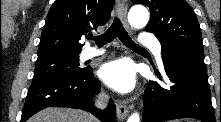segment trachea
<instances>
[{"mask_svg": "<svg viewBox=\"0 0 221 122\" xmlns=\"http://www.w3.org/2000/svg\"><path fill=\"white\" fill-rule=\"evenodd\" d=\"M121 40V42L126 45L127 47L131 49H136V50H145L143 47L139 46L136 44L128 35L124 27L122 26V23L118 17H115L112 25L107 29L105 33L102 35L93 37L88 36L87 39L94 40L97 44V46L102 47L111 41H113L116 37Z\"/></svg>", "mask_w": 221, "mask_h": 122, "instance_id": "trachea-1", "label": "trachea"}]
</instances>
